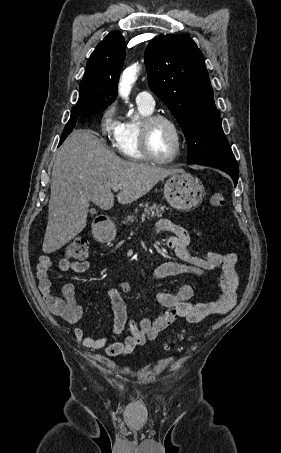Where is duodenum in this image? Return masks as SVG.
Masks as SVG:
<instances>
[{"label": "duodenum", "instance_id": "duodenum-1", "mask_svg": "<svg viewBox=\"0 0 281 453\" xmlns=\"http://www.w3.org/2000/svg\"><path fill=\"white\" fill-rule=\"evenodd\" d=\"M107 230L108 222L106 220L98 222L95 226V234L100 238H104L106 236Z\"/></svg>", "mask_w": 281, "mask_h": 453}]
</instances>
